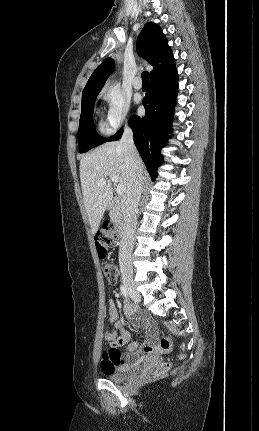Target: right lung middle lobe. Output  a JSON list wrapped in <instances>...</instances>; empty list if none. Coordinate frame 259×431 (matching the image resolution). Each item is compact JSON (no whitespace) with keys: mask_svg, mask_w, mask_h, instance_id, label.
Wrapping results in <instances>:
<instances>
[{"mask_svg":"<svg viewBox=\"0 0 259 431\" xmlns=\"http://www.w3.org/2000/svg\"><path fill=\"white\" fill-rule=\"evenodd\" d=\"M99 92L84 95L81 102V116L78 129L80 153L104 143L107 139L98 135L93 121L94 103Z\"/></svg>","mask_w":259,"mask_h":431,"instance_id":"obj_1","label":"right lung middle lobe"}]
</instances>
